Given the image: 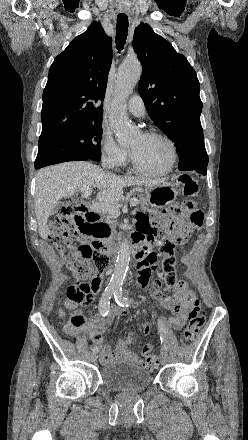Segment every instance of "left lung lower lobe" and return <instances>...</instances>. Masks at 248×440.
Returning a JSON list of instances; mask_svg holds the SVG:
<instances>
[{
	"mask_svg": "<svg viewBox=\"0 0 248 440\" xmlns=\"http://www.w3.org/2000/svg\"><path fill=\"white\" fill-rule=\"evenodd\" d=\"M206 168H207V166H201V167H198V168L192 169L191 171H195V172H197V173H200V174L206 175V173H207ZM182 171H185V170H182Z\"/></svg>",
	"mask_w": 248,
	"mask_h": 440,
	"instance_id": "1",
	"label": "left lung lower lobe"
}]
</instances>
